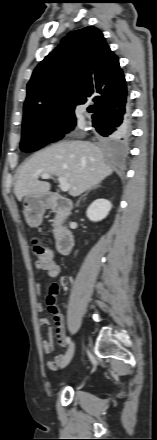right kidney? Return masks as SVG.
I'll use <instances>...</instances> for the list:
<instances>
[{
    "mask_svg": "<svg viewBox=\"0 0 157 440\" xmlns=\"http://www.w3.org/2000/svg\"><path fill=\"white\" fill-rule=\"evenodd\" d=\"M111 208L112 204L110 201L106 199H96L88 207L86 211V216L90 221L98 222L107 217Z\"/></svg>",
    "mask_w": 157,
    "mask_h": 440,
    "instance_id": "1",
    "label": "right kidney"
}]
</instances>
